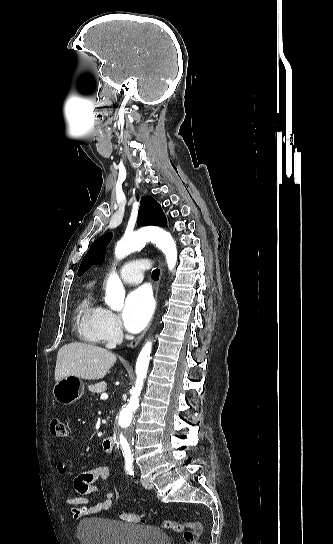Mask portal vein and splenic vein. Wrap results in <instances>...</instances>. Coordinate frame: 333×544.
Listing matches in <instances>:
<instances>
[{
  "label": "portal vein and splenic vein",
  "instance_id": "portal-vein-and-splenic-vein-1",
  "mask_svg": "<svg viewBox=\"0 0 333 544\" xmlns=\"http://www.w3.org/2000/svg\"><path fill=\"white\" fill-rule=\"evenodd\" d=\"M107 398H108V394H106V393H102L100 395V399H107Z\"/></svg>",
  "mask_w": 333,
  "mask_h": 544
}]
</instances>
